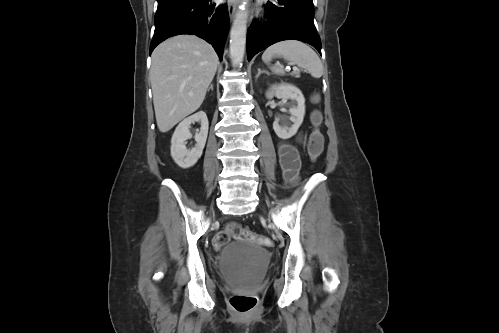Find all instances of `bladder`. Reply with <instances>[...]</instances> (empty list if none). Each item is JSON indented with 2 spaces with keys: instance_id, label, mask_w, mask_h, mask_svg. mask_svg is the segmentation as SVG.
I'll return each instance as SVG.
<instances>
[{
  "instance_id": "bladder-1",
  "label": "bladder",
  "mask_w": 499,
  "mask_h": 333,
  "mask_svg": "<svg viewBox=\"0 0 499 333\" xmlns=\"http://www.w3.org/2000/svg\"><path fill=\"white\" fill-rule=\"evenodd\" d=\"M269 251L246 241L226 243L220 258L225 279L243 290L254 288L264 275Z\"/></svg>"
}]
</instances>
